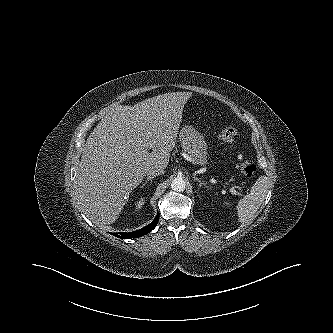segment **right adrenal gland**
Here are the masks:
<instances>
[{"mask_svg": "<svg viewBox=\"0 0 333 333\" xmlns=\"http://www.w3.org/2000/svg\"><path fill=\"white\" fill-rule=\"evenodd\" d=\"M153 178H154V176H149V177H147V178L144 180V182L142 183L141 188H143L148 182L151 183Z\"/></svg>", "mask_w": 333, "mask_h": 333, "instance_id": "2a0ac1e0", "label": "right adrenal gland"}]
</instances>
